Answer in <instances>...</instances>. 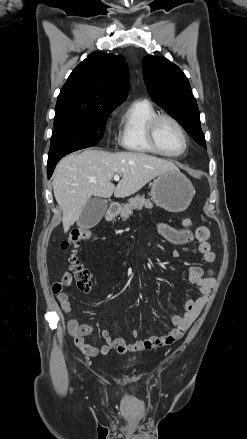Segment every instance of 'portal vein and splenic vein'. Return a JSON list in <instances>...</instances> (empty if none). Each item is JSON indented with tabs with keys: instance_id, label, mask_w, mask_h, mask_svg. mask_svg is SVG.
<instances>
[{
	"instance_id": "1",
	"label": "portal vein and splenic vein",
	"mask_w": 247,
	"mask_h": 439,
	"mask_svg": "<svg viewBox=\"0 0 247 439\" xmlns=\"http://www.w3.org/2000/svg\"><path fill=\"white\" fill-rule=\"evenodd\" d=\"M113 179H114V181H119L120 180V176L119 175H114Z\"/></svg>"
}]
</instances>
